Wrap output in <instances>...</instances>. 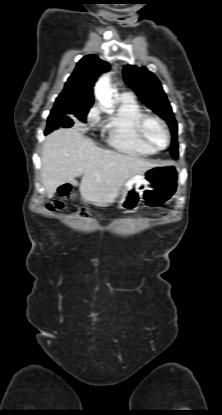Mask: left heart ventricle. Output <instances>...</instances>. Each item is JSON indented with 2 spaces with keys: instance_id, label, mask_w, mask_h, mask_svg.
<instances>
[{
  "instance_id": "left-heart-ventricle-1",
  "label": "left heart ventricle",
  "mask_w": 222,
  "mask_h": 415,
  "mask_svg": "<svg viewBox=\"0 0 222 415\" xmlns=\"http://www.w3.org/2000/svg\"><path fill=\"white\" fill-rule=\"evenodd\" d=\"M147 135L157 145L164 146L166 144V135L163 127L156 121H149L147 124Z\"/></svg>"
}]
</instances>
